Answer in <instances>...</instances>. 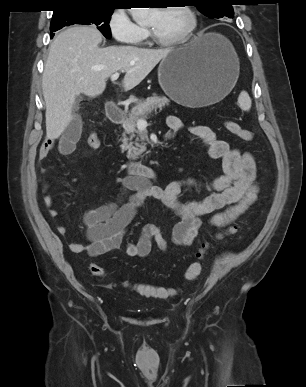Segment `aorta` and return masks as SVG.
Returning a JSON list of instances; mask_svg holds the SVG:
<instances>
[{
    "label": "aorta",
    "mask_w": 306,
    "mask_h": 387,
    "mask_svg": "<svg viewBox=\"0 0 306 387\" xmlns=\"http://www.w3.org/2000/svg\"><path fill=\"white\" fill-rule=\"evenodd\" d=\"M151 8H131V15L135 22L142 23L151 13Z\"/></svg>",
    "instance_id": "obj_1"
}]
</instances>
